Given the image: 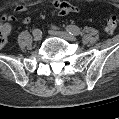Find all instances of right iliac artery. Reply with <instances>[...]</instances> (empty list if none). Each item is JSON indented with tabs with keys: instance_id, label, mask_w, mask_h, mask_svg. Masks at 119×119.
Segmentation results:
<instances>
[{
	"instance_id": "1",
	"label": "right iliac artery",
	"mask_w": 119,
	"mask_h": 119,
	"mask_svg": "<svg viewBox=\"0 0 119 119\" xmlns=\"http://www.w3.org/2000/svg\"><path fill=\"white\" fill-rule=\"evenodd\" d=\"M30 34H31L33 37H36V36L39 34V31H38L36 28H33V29L30 31Z\"/></svg>"
}]
</instances>
